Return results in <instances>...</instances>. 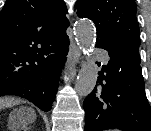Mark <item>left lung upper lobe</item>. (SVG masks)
<instances>
[{
	"label": "left lung upper lobe",
	"instance_id": "1",
	"mask_svg": "<svg viewBox=\"0 0 151 131\" xmlns=\"http://www.w3.org/2000/svg\"><path fill=\"white\" fill-rule=\"evenodd\" d=\"M75 8L79 17H87L94 22L96 45L129 64L141 63L134 0H77Z\"/></svg>",
	"mask_w": 151,
	"mask_h": 131
}]
</instances>
